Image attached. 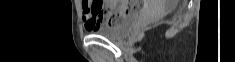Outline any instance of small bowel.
Instances as JSON below:
<instances>
[{
    "label": "small bowel",
    "instance_id": "obj_1",
    "mask_svg": "<svg viewBox=\"0 0 235 62\" xmlns=\"http://www.w3.org/2000/svg\"><path fill=\"white\" fill-rule=\"evenodd\" d=\"M124 5L130 10L128 13L130 14L133 12L132 8L138 4L126 2ZM94 6L95 4L89 1L82 2V17L84 26L88 31H94L100 27L103 22L108 23L111 15L112 2H108L105 8L103 7L102 9H95Z\"/></svg>",
    "mask_w": 235,
    "mask_h": 62
}]
</instances>
